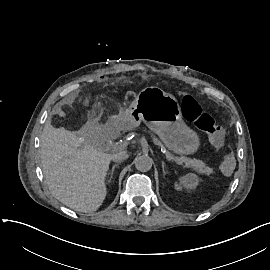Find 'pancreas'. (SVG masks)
<instances>
[{
    "label": "pancreas",
    "mask_w": 270,
    "mask_h": 270,
    "mask_svg": "<svg viewBox=\"0 0 270 270\" xmlns=\"http://www.w3.org/2000/svg\"><path fill=\"white\" fill-rule=\"evenodd\" d=\"M154 143L156 145L161 146L160 142H158L157 139H154ZM177 161L185 163V166L192 167L193 171L199 172L201 175L210 176L211 174H214V170L210 167H208L203 161L197 160L195 158L193 159H178ZM214 177H210V179H213Z\"/></svg>",
    "instance_id": "pancreas-1"
}]
</instances>
